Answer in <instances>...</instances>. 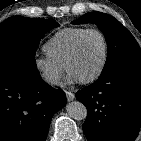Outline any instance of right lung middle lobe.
<instances>
[{
    "mask_svg": "<svg viewBox=\"0 0 141 141\" xmlns=\"http://www.w3.org/2000/svg\"><path fill=\"white\" fill-rule=\"evenodd\" d=\"M59 24L41 18L13 16L0 25V69L37 70L35 53L43 35Z\"/></svg>",
    "mask_w": 141,
    "mask_h": 141,
    "instance_id": "right-lung-middle-lobe-1",
    "label": "right lung middle lobe"
}]
</instances>
